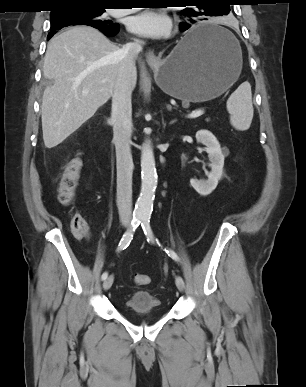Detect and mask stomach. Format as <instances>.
<instances>
[{"instance_id":"0dacf381","label":"stomach","mask_w":306,"mask_h":387,"mask_svg":"<svg viewBox=\"0 0 306 387\" xmlns=\"http://www.w3.org/2000/svg\"><path fill=\"white\" fill-rule=\"evenodd\" d=\"M218 30L219 25L205 22L191 32ZM214 39L194 45L186 44V35L164 59L151 67L157 85L168 95L188 102H205L229 89L242 70V52L238 41Z\"/></svg>"}]
</instances>
